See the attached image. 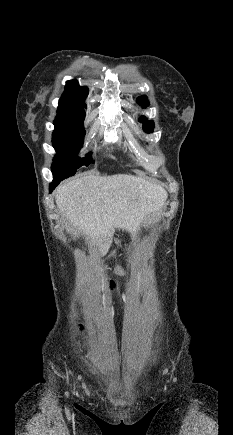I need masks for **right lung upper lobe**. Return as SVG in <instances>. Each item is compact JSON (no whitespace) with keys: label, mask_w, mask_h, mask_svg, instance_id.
<instances>
[{"label":"right lung upper lobe","mask_w":233,"mask_h":435,"mask_svg":"<svg viewBox=\"0 0 233 435\" xmlns=\"http://www.w3.org/2000/svg\"><path fill=\"white\" fill-rule=\"evenodd\" d=\"M88 88L80 86L76 80L66 83L65 92L59 100L58 114L54 122H64L75 118L85 117V98ZM81 104V106H79Z\"/></svg>","instance_id":"cb5924a9"}]
</instances>
